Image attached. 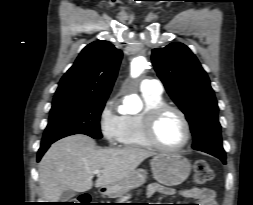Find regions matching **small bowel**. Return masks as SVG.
<instances>
[{"label":"small bowel","instance_id":"c3829d8e","mask_svg":"<svg viewBox=\"0 0 253 205\" xmlns=\"http://www.w3.org/2000/svg\"><path fill=\"white\" fill-rule=\"evenodd\" d=\"M157 193L173 195L174 190L159 184H151L148 188V196L151 197ZM181 195L185 198L196 201V205H217L214 199V194L209 188H188L181 191Z\"/></svg>","mask_w":253,"mask_h":205}]
</instances>
